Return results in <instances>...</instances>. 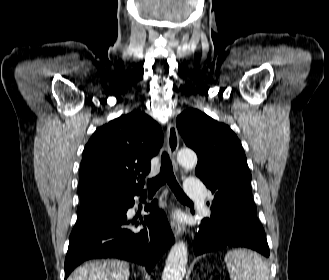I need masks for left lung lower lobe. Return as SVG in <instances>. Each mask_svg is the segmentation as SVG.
Returning a JSON list of instances; mask_svg holds the SVG:
<instances>
[{
	"label": "left lung lower lobe",
	"instance_id": "left-lung-lower-lobe-1",
	"mask_svg": "<svg viewBox=\"0 0 329 280\" xmlns=\"http://www.w3.org/2000/svg\"><path fill=\"white\" fill-rule=\"evenodd\" d=\"M248 247L269 256V247L250 193L215 201L211 216L201 221L194 240L196 255L224 247Z\"/></svg>",
	"mask_w": 329,
	"mask_h": 280
}]
</instances>
